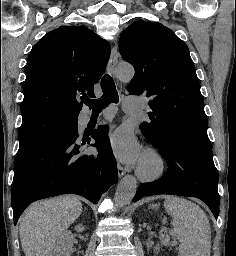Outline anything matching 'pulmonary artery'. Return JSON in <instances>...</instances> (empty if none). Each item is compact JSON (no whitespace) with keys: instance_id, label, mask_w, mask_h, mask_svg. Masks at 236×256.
<instances>
[{"instance_id":"e3ab8cb5","label":"pulmonary artery","mask_w":236,"mask_h":256,"mask_svg":"<svg viewBox=\"0 0 236 256\" xmlns=\"http://www.w3.org/2000/svg\"><path fill=\"white\" fill-rule=\"evenodd\" d=\"M125 114L126 115H131L134 109H140V105H141V100L142 97L141 96H126L125 97Z\"/></svg>"}]
</instances>
